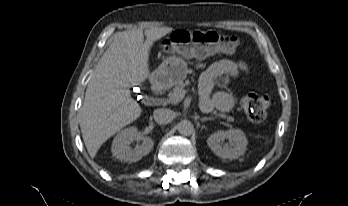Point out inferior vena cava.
Here are the masks:
<instances>
[{
	"label": "inferior vena cava",
	"mask_w": 348,
	"mask_h": 206,
	"mask_svg": "<svg viewBox=\"0 0 348 206\" xmlns=\"http://www.w3.org/2000/svg\"><path fill=\"white\" fill-rule=\"evenodd\" d=\"M175 118V113L167 108H159L154 110L153 119L158 124H168Z\"/></svg>",
	"instance_id": "602c4592"
}]
</instances>
